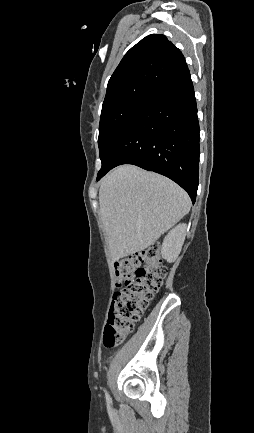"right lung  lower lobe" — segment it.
I'll return each mask as SVG.
<instances>
[{
  "label": "right lung lower lobe",
  "mask_w": 254,
  "mask_h": 433,
  "mask_svg": "<svg viewBox=\"0 0 254 433\" xmlns=\"http://www.w3.org/2000/svg\"><path fill=\"white\" fill-rule=\"evenodd\" d=\"M199 154L197 106L187 68L165 83L136 113L115 142L97 180L118 165L134 164L172 179L194 203Z\"/></svg>",
  "instance_id": "obj_1"
}]
</instances>
